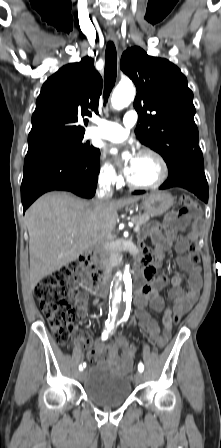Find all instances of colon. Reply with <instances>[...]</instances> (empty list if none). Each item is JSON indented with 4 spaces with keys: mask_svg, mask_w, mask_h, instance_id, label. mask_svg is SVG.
Wrapping results in <instances>:
<instances>
[{
    "mask_svg": "<svg viewBox=\"0 0 221 448\" xmlns=\"http://www.w3.org/2000/svg\"><path fill=\"white\" fill-rule=\"evenodd\" d=\"M182 209L179 212V221L184 225L190 224V217L199 210V205L188 195L180 198ZM189 261L197 265L200 261L199 254L194 244L190 245L188 253ZM86 256L81 255L77 262H71L64 268L49 274L35 287L34 293L40 307L45 313L55 341L65 346L70 342L75 329L74 308L67 299V289L70 281L77 276L80 264L85 263ZM179 316H173V322L177 324Z\"/></svg>",
    "mask_w": 221,
    "mask_h": 448,
    "instance_id": "obj_1",
    "label": "colon"
}]
</instances>
